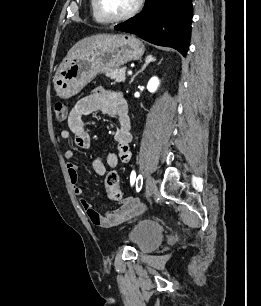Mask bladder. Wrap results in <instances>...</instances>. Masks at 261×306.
<instances>
[{"mask_svg": "<svg viewBox=\"0 0 261 306\" xmlns=\"http://www.w3.org/2000/svg\"><path fill=\"white\" fill-rule=\"evenodd\" d=\"M131 245L140 253L156 249L163 239V228L153 220L137 222L128 234Z\"/></svg>", "mask_w": 261, "mask_h": 306, "instance_id": "bladder-1", "label": "bladder"}]
</instances>
